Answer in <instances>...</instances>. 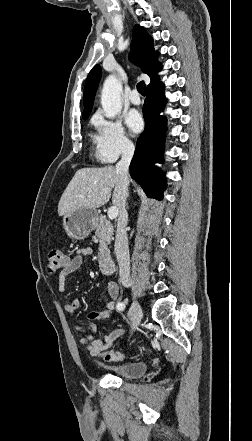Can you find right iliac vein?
<instances>
[{
    "label": "right iliac vein",
    "instance_id": "1",
    "mask_svg": "<svg viewBox=\"0 0 252 441\" xmlns=\"http://www.w3.org/2000/svg\"><path fill=\"white\" fill-rule=\"evenodd\" d=\"M130 314L132 316L131 329H132V331H134L138 327V325L141 321V318L143 316L142 309L137 301L133 302L131 309H130Z\"/></svg>",
    "mask_w": 252,
    "mask_h": 441
}]
</instances>
